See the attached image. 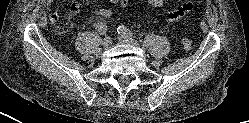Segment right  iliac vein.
I'll use <instances>...</instances> for the list:
<instances>
[{"mask_svg": "<svg viewBox=\"0 0 249 123\" xmlns=\"http://www.w3.org/2000/svg\"><path fill=\"white\" fill-rule=\"evenodd\" d=\"M111 44H112V39H111V37H106V38L103 40V42H102V45H103L104 48L110 47Z\"/></svg>", "mask_w": 249, "mask_h": 123, "instance_id": "right-iliac-vein-1", "label": "right iliac vein"}]
</instances>
